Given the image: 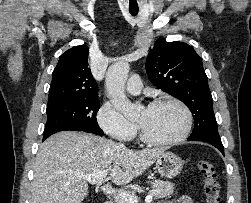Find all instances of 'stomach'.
Segmentation results:
<instances>
[{
  "instance_id": "stomach-1",
  "label": "stomach",
  "mask_w": 251,
  "mask_h": 203,
  "mask_svg": "<svg viewBox=\"0 0 251 203\" xmlns=\"http://www.w3.org/2000/svg\"><path fill=\"white\" fill-rule=\"evenodd\" d=\"M183 167L182 159L172 152H164L156 160V170L166 178L177 176Z\"/></svg>"
}]
</instances>
